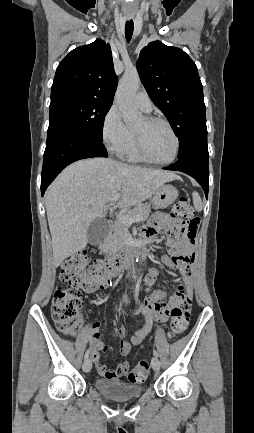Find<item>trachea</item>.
Segmentation results:
<instances>
[{
  "mask_svg": "<svg viewBox=\"0 0 254 433\" xmlns=\"http://www.w3.org/2000/svg\"><path fill=\"white\" fill-rule=\"evenodd\" d=\"M134 24L132 20H129L125 24V37L127 41H130L133 35Z\"/></svg>",
  "mask_w": 254,
  "mask_h": 433,
  "instance_id": "1",
  "label": "trachea"
}]
</instances>
